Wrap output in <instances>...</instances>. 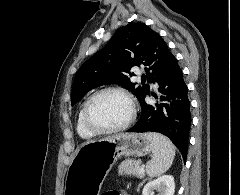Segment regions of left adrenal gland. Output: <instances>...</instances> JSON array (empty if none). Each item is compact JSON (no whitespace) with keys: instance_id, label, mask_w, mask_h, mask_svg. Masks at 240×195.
Returning <instances> with one entry per match:
<instances>
[{"instance_id":"obj_1","label":"left adrenal gland","mask_w":240,"mask_h":195,"mask_svg":"<svg viewBox=\"0 0 240 195\" xmlns=\"http://www.w3.org/2000/svg\"><path fill=\"white\" fill-rule=\"evenodd\" d=\"M145 181H146V179H143V181H141V183H139L138 189H139L140 185H143V183H145Z\"/></svg>"}]
</instances>
